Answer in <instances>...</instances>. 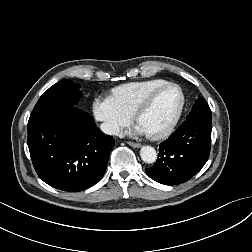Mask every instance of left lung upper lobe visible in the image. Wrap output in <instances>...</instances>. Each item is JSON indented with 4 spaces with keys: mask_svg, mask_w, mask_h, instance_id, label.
<instances>
[{
    "mask_svg": "<svg viewBox=\"0 0 252 252\" xmlns=\"http://www.w3.org/2000/svg\"><path fill=\"white\" fill-rule=\"evenodd\" d=\"M193 118H209L212 119L211 111L206 103V101L203 98H199L195 101V104L189 113V115L186 117V120H190Z\"/></svg>",
    "mask_w": 252,
    "mask_h": 252,
    "instance_id": "1",
    "label": "left lung upper lobe"
}]
</instances>
